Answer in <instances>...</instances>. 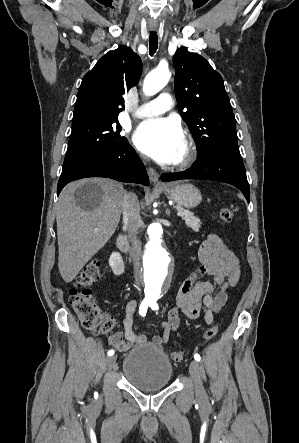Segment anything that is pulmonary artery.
<instances>
[{
  "mask_svg": "<svg viewBox=\"0 0 299 443\" xmlns=\"http://www.w3.org/2000/svg\"><path fill=\"white\" fill-rule=\"evenodd\" d=\"M173 106V98L170 93L163 92L157 99L143 104L135 113L138 118H149L160 115L170 110Z\"/></svg>",
  "mask_w": 299,
  "mask_h": 443,
  "instance_id": "obj_1",
  "label": "pulmonary artery"
}]
</instances>
